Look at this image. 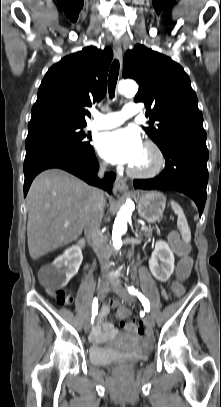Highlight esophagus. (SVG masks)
<instances>
[{
  "label": "esophagus",
  "instance_id": "obj_1",
  "mask_svg": "<svg viewBox=\"0 0 221 407\" xmlns=\"http://www.w3.org/2000/svg\"><path fill=\"white\" fill-rule=\"evenodd\" d=\"M114 46V53H115V57L118 59V61L122 64V58H123V51H122V47H121V42L119 40H115L113 43ZM114 187L116 190H118L121 193H125L128 191V186L126 183V179L117 176L115 183H114Z\"/></svg>",
  "mask_w": 221,
  "mask_h": 407
}]
</instances>
